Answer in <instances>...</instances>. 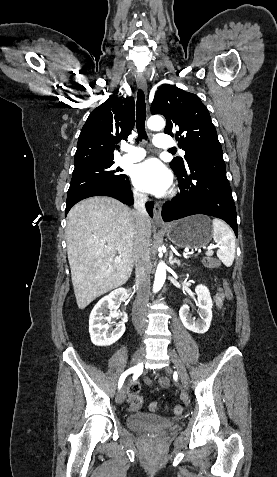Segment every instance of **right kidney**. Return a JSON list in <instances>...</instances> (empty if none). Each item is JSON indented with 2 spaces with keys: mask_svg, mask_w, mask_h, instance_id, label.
<instances>
[{
  "mask_svg": "<svg viewBox=\"0 0 277 477\" xmlns=\"http://www.w3.org/2000/svg\"><path fill=\"white\" fill-rule=\"evenodd\" d=\"M129 290L118 288L110 294L103 297L93 308L89 317V333L91 341L96 346H110L121 338L125 332L126 314L117 312L122 300L128 295ZM110 310L108 317L104 313ZM123 316L114 330L110 329L105 321H110L111 318L118 319Z\"/></svg>",
  "mask_w": 277,
  "mask_h": 477,
  "instance_id": "right-kidney-1",
  "label": "right kidney"
}]
</instances>
